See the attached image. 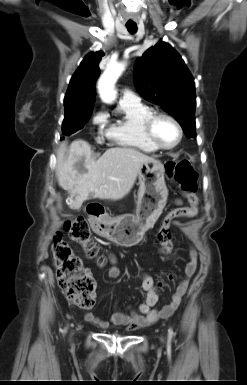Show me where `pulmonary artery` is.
I'll use <instances>...</instances> for the list:
<instances>
[{"instance_id":"e3ab8cb5","label":"pulmonary artery","mask_w":247,"mask_h":385,"mask_svg":"<svg viewBox=\"0 0 247 385\" xmlns=\"http://www.w3.org/2000/svg\"><path fill=\"white\" fill-rule=\"evenodd\" d=\"M138 102H139V97L135 93H133L132 91H130L128 89L122 90L120 103L133 104V103H138Z\"/></svg>"}]
</instances>
